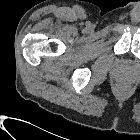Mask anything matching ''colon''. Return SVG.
<instances>
[{"label": "colon", "mask_w": 140, "mask_h": 140, "mask_svg": "<svg viewBox=\"0 0 140 140\" xmlns=\"http://www.w3.org/2000/svg\"><path fill=\"white\" fill-rule=\"evenodd\" d=\"M116 90L120 94H124L129 90V84L126 81H119L116 84Z\"/></svg>", "instance_id": "colon-1"}]
</instances>
